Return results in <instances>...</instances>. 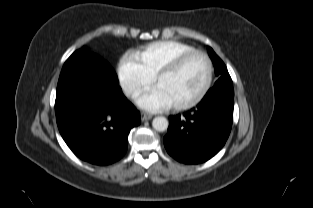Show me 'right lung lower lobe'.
Returning <instances> with one entry per match:
<instances>
[{
	"instance_id": "obj_1",
	"label": "right lung lower lobe",
	"mask_w": 313,
	"mask_h": 208,
	"mask_svg": "<svg viewBox=\"0 0 313 208\" xmlns=\"http://www.w3.org/2000/svg\"><path fill=\"white\" fill-rule=\"evenodd\" d=\"M58 129L80 159L96 165L119 160L140 114L125 98L112 67L98 55L80 50L65 62L57 85Z\"/></svg>"
}]
</instances>
